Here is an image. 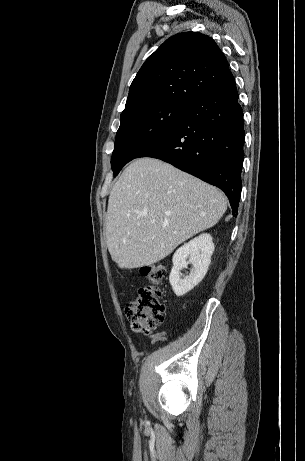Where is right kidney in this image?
Listing matches in <instances>:
<instances>
[{"label": "right kidney", "instance_id": "obj_1", "mask_svg": "<svg viewBox=\"0 0 305 461\" xmlns=\"http://www.w3.org/2000/svg\"><path fill=\"white\" fill-rule=\"evenodd\" d=\"M214 251L210 234L204 233L181 246L173 255L169 282L176 296H183L198 285L207 273ZM187 258L188 261H187ZM191 264L193 271L182 277L180 271Z\"/></svg>", "mask_w": 305, "mask_h": 461}]
</instances>
